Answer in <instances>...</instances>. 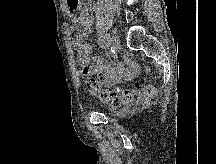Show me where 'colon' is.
<instances>
[{
	"label": "colon",
	"instance_id": "obj_1",
	"mask_svg": "<svg viewBox=\"0 0 216 164\" xmlns=\"http://www.w3.org/2000/svg\"><path fill=\"white\" fill-rule=\"evenodd\" d=\"M86 86L89 92L97 95L102 102L109 105L128 103L137 95L142 104H148L156 95V88L146 82H138L134 89H101L97 79L84 70Z\"/></svg>",
	"mask_w": 216,
	"mask_h": 164
}]
</instances>
